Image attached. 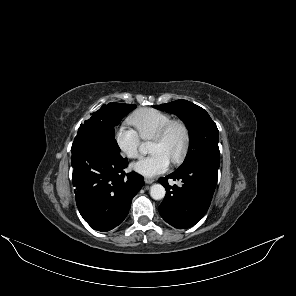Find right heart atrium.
<instances>
[{"instance_id": "right-heart-atrium-1", "label": "right heart atrium", "mask_w": 296, "mask_h": 296, "mask_svg": "<svg viewBox=\"0 0 296 296\" xmlns=\"http://www.w3.org/2000/svg\"><path fill=\"white\" fill-rule=\"evenodd\" d=\"M115 142L118 149L131 159H137L141 156V138L136 130L121 125L115 132Z\"/></svg>"}]
</instances>
